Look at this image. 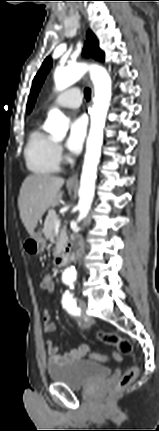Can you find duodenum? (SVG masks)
Here are the masks:
<instances>
[{
	"label": "duodenum",
	"mask_w": 159,
	"mask_h": 431,
	"mask_svg": "<svg viewBox=\"0 0 159 431\" xmlns=\"http://www.w3.org/2000/svg\"><path fill=\"white\" fill-rule=\"evenodd\" d=\"M81 250L80 243L77 239L71 240L68 245L61 251L54 260V265L56 267H62L66 265L70 259L79 254Z\"/></svg>",
	"instance_id": "410a0bca"
}]
</instances>
